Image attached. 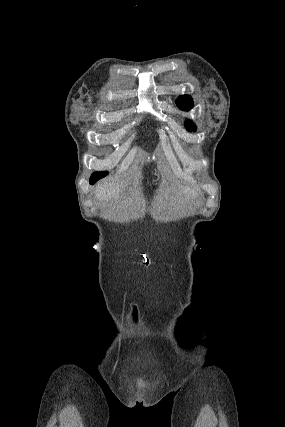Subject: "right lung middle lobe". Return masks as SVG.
Wrapping results in <instances>:
<instances>
[{"label":"right lung middle lobe","instance_id":"right-lung-middle-lobe-1","mask_svg":"<svg viewBox=\"0 0 285 427\" xmlns=\"http://www.w3.org/2000/svg\"><path fill=\"white\" fill-rule=\"evenodd\" d=\"M107 174H108V172H96L91 177L99 180L100 178L105 177Z\"/></svg>","mask_w":285,"mask_h":427}]
</instances>
